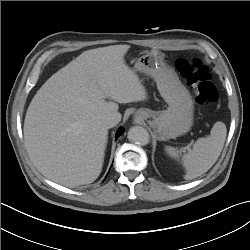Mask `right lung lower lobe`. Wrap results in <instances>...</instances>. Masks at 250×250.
<instances>
[{
    "mask_svg": "<svg viewBox=\"0 0 250 250\" xmlns=\"http://www.w3.org/2000/svg\"><path fill=\"white\" fill-rule=\"evenodd\" d=\"M124 132V129L123 128H120L118 131H117V134H116V139Z\"/></svg>",
    "mask_w": 250,
    "mask_h": 250,
    "instance_id": "1",
    "label": "right lung lower lobe"
}]
</instances>
